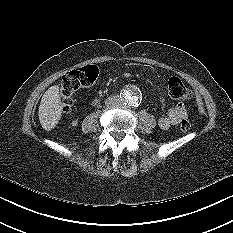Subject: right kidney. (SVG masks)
Returning a JSON list of instances; mask_svg holds the SVG:
<instances>
[{"mask_svg": "<svg viewBox=\"0 0 233 233\" xmlns=\"http://www.w3.org/2000/svg\"><path fill=\"white\" fill-rule=\"evenodd\" d=\"M72 126H77L78 125V120H75L71 123Z\"/></svg>", "mask_w": 233, "mask_h": 233, "instance_id": "obj_1", "label": "right kidney"}]
</instances>
